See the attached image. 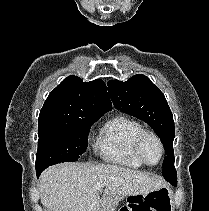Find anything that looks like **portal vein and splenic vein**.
<instances>
[{
    "label": "portal vein and splenic vein",
    "mask_w": 209,
    "mask_h": 211,
    "mask_svg": "<svg viewBox=\"0 0 209 211\" xmlns=\"http://www.w3.org/2000/svg\"><path fill=\"white\" fill-rule=\"evenodd\" d=\"M102 185L100 183H98V188H100Z\"/></svg>",
    "instance_id": "18ae733b"
}]
</instances>
